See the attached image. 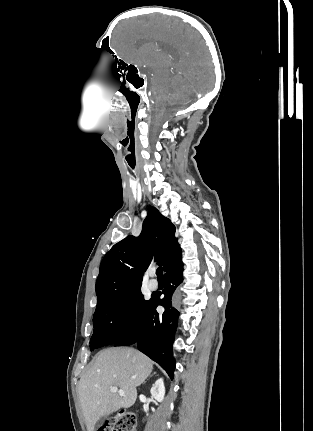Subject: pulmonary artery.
Segmentation results:
<instances>
[{"label":"pulmonary artery","mask_w":313,"mask_h":431,"mask_svg":"<svg viewBox=\"0 0 313 431\" xmlns=\"http://www.w3.org/2000/svg\"><path fill=\"white\" fill-rule=\"evenodd\" d=\"M152 275H153V273H152ZM149 288L151 290H156L158 288V282L154 279L150 280L149 281Z\"/></svg>","instance_id":"obj_1"}]
</instances>
